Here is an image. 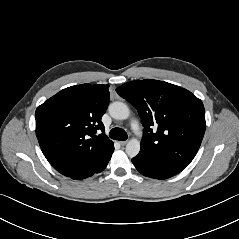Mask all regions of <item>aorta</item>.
<instances>
[{
  "mask_svg": "<svg viewBox=\"0 0 239 239\" xmlns=\"http://www.w3.org/2000/svg\"><path fill=\"white\" fill-rule=\"evenodd\" d=\"M110 115L117 120H125L129 117L130 111L128 106L120 101L113 102L109 105ZM140 151V142L138 139H130L126 145V153L133 158L138 155Z\"/></svg>",
  "mask_w": 239,
  "mask_h": 239,
  "instance_id": "obj_1",
  "label": "aorta"
}]
</instances>
